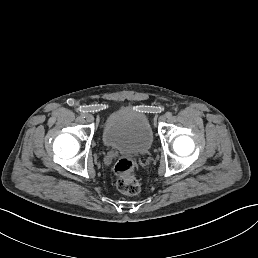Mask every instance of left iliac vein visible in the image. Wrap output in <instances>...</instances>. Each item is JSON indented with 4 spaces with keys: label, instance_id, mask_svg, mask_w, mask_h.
Instances as JSON below:
<instances>
[{
    "label": "left iliac vein",
    "instance_id": "left-iliac-vein-1",
    "mask_svg": "<svg viewBox=\"0 0 258 258\" xmlns=\"http://www.w3.org/2000/svg\"><path fill=\"white\" fill-rule=\"evenodd\" d=\"M159 120H160V122H165L166 117H165L164 115H161V116L159 117Z\"/></svg>",
    "mask_w": 258,
    "mask_h": 258
}]
</instances>
